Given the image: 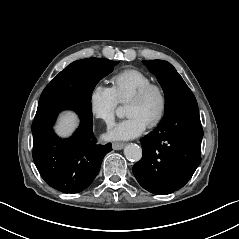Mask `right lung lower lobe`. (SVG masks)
Listing matches in <instances>:
<instances>
[{"label": "right lung lower lobe", "mask_w": 239, "mask_h": 239, "mask_svg": "<svg viewBox=\"0 0 239 239\" xmlns=\"http://www.w3.org/2000/svg\"><path fill=\"white\" fill-rule=\"evenodd\" d=\"M90 101L82 94L46 100L38 105L32 123L35 165L44 181L63 193L86 189L98 174L104 156L112 150L110 143L96 144ZM65 109L76 111L81 124L71 138L62 140L52 126Z\"/></svg>", "instance_id": "obj_1"}]
</instances>
